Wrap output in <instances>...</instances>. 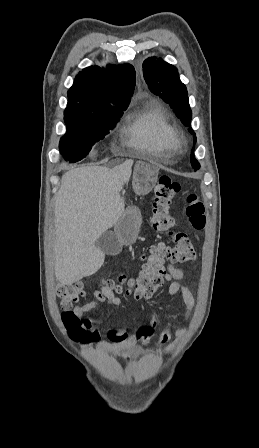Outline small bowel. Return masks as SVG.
<instances>
[{
  "instance_id": "1",
  "label": "small bowel",
  "mask_w": 259,
  "mask_h": 448,
  "mask_svg": "<svg viewBox=\"0 0 259 448\" xmlns=\"http://www.w3.org/2000/svg\"><path fill=\"white\" fill-rule=\"evenodd\" d=\"M183 276L184 273L180 268L175 267L173 264H169L164 279L169 282V294L171 296L181 295L185 304V317H188L194 305V297L192 292L181 284ZM99 304L119 306L121 305V299L105 285H100L99 290L93 292L92 301L84 305L75 306L72 309V312L82 319ZM83 324L87 333L84 338L86 344L96 345L99 350L121 354L127 358H131L138 357L145 353L144 349L138 345V342L142 341L147 343L150 341L154 329L158 325V319L153 317L146 327L131 332L127 330H111L107 334L108 339L104 341L100 340V334L92 319L85 318ZM175 334L178 337H181L184 332L177 329L175 330ZM171 336L172 330L167 328L161 332L157 343L163 345L171 339ZM173 347L174 345L170 346L167 351H170Z\"/></svg>"
}]
</instances>
